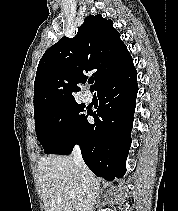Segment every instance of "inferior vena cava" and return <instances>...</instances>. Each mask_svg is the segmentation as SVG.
I'll return each mask as SVG.
<instances>
[{"mask_svg": "<svg viewBox=\"0 0 178 211\" xmlns=\"http://www.w3.org/2000/svg\"><path fill=\"white\" fill-rule=\"evenodd\" d=\"M74 163L81 172V178L85 183V199L82 207V211H93L94 203L97 197V187L90 170L85 165L79 146H75L73 149Z\"/></svg>", "mask_w": 178, "mask_h": 211, "instance_id": "1", "label": "inferior vena cava"}]
</instances>
